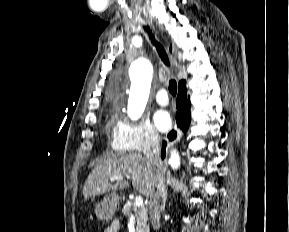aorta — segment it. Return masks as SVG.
Listing matches in <instances>:
<instances>
[{
	"label": "aorta",
	"instance_id": "762f6f07",
	"mask_svg": "<svg viewBox=\"0 0 289 232\" xmlns=\"http://www.w3.org/2000/svg\"><path fill=\"white\" fill-rule=\"evenodd\" d=\"M131 70L132 86L128 113L133 119H138L148 101L152 81V66L148 60L140 58L132 63ZM169 163L173 169L180 166V157L176 150L171 152Z\"/></svg>",
	"mask_w": 289,
	"mask_h": 232
}]
</instances>
